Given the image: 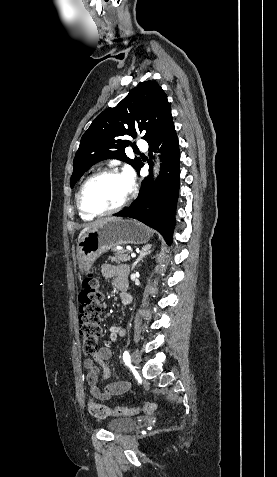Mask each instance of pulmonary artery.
Here are the masks:
<instances>
[{
    "label": "pulmonary artery",
    "mask_w": 277,
    "mask_h": 477,
    "mask_svg": "<svg viewBox=\"0 0 277 477\" xmlns=\"http://www.w3.org/2000/svg\"><path fill=\"white\" fill-rule=\"evenodd\" d=\"M137 146H138L139 149H141L143 151H146L147 148H148V144L144 140L138 141Z\"/></svg>",
    "instance_id": "pulmonary-artery-1"
}]
</instances>
